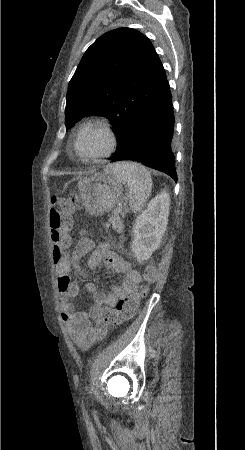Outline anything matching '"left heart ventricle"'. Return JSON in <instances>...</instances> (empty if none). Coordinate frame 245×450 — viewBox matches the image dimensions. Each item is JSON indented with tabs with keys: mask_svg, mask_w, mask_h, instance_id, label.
Listing matches in <instances>:
<instances>
[{
	"mask_svg": "<svg viewBox=\"0 0 245 450\" xmlns=\"http://www.w3.org/2000/svg\"><path fill=\"white\" fill-rule=\"evenodd\" d=\"M108 139L104 132L93 131L83 136L78 145V150L83 155H93L107 148Z\"/></svg>",
	"mask_w": 245,
	"mask_h": 450,
	"instance_id": "left-heart-ventricle-1",
	"label": "left heart ventricle"
}]
</instances>
